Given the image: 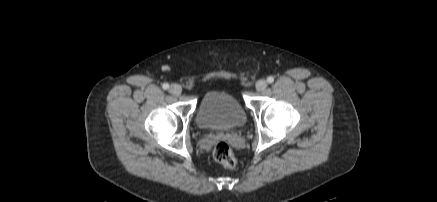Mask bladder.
<instances>
[{"mask_svg":"<svg viewBox=\"0 0 437 202\" xmlns=\"http://www.w3.org/2000/svg\"><path fill=\"white\" fill-rule=\"evenodd\" d=\"M246 112L230 92L211 90L202 97L196 113V123L202 130L229 131L243 126Z\"/></svg>","mask_w":437,"mask_h":202,"instance_id":"obj_1","label":"bladder"}]
</instances>
